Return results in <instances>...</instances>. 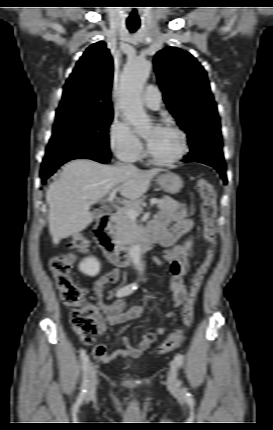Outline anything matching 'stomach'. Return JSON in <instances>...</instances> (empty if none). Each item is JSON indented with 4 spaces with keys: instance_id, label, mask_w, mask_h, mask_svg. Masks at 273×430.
Wrapping results in <instances>:
<instances>
[{
    "instance_id": "stomach-1",
    "label": "stomach",
    "mask_w": 273,
    "mask_h": 430,
    "mask_svg": "<svg viewBox=\"0 0 273 430\" xmlns=\"http://www.w3.org/2000/svg\"><path fill=\"white\" fill-rule=\"evenodd\" d=\"M157 184L170 194L178 193L183 187V181L175 173L167 172L156 177Z\"/></svg>"
}]
</instances>
